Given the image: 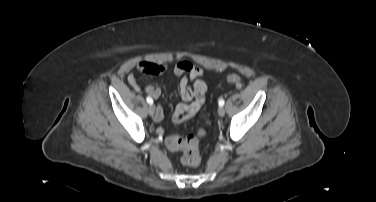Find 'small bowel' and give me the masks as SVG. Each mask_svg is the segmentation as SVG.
<instances>
[{
    "label": "small bowel",
    "instance_id": "c3829d8e",
    "mask_svg": "<svg viewBox=\"0 0 376 202\" xmlns=\"http://www.w3.org/2000/svg\"><path fill=\"white\" fill-rule=\"evenodd\" d=\"M136 68L138 72L148 75H158L171 71L175 77L180 78L179 93L183 102L179 103L174 110L172 115L174 124H179L194 117L205 103L209 83L203 70L190 62L181 61L173 65H163L142 60L137 63ZM128 82L135 91L141 90L135 73H129ZM145 92L154 99H158L161 95V90L152 85L146 86ZM163 119V108L158 105L154 120L161 122Z\"/></svg>",
    "mask_w": 376,
    "mask_h": 202
}]
</instances>
